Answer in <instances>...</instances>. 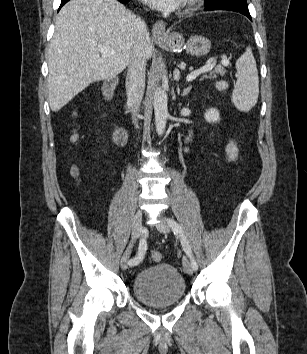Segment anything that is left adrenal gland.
<instances>
[{
  "mask_svg": "<svg viewBox=\"0 0 307 354\" xmlns=\"http://www.w3.org/2000/svg\"><path fill=\"white\" fill-rule=\"evenodd\" d=\"M191 85L190 86H188L187 88H185L184 90H183V93L181 94L182 96H186V95H188V93L191 91Z\"/></svg>",
  "mask_w": 307,
  "mask_h": 354,
  "instance_id": "left-adrenal-gland-1",
  "label": "left adrenal gland"
}]
</instances>
